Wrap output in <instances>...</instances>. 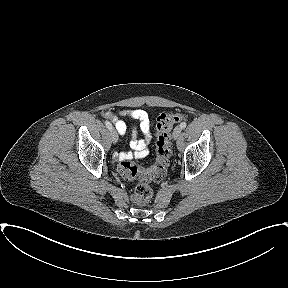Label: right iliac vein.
I'll list each match as a JSON object with an SVG mask.
<instances>
[{"label": "right iliac vein", "instance_id": "63e3f726", "mask_svg": "<svg viewBox=\"0 0 288 288\" xmlns=\"http://www.w3.org/2000/svg\"><path fill=\"white\" fill-rule=\"evenodd\" d=\"M111 140L114 144L118 141V134L113 128L111 129Z\"/></svg>", "mask_w": 288, "mask_h": 288}]
</instances>
